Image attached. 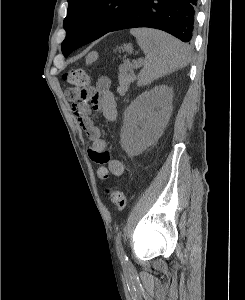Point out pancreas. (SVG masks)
<instances>
[{
  "label": "pancreas",
  "instance_id": "1",
  "mask_svg": "<svg viewBox=\"0 0 245 300\" xmlns=\"http://www.w3.org/2000/svg\"><path fill=\"white\" fill-rule=\"evenodd\" d=\"M128 67H123L120 69V73H119V88H118V92L123 95L130 83L134 80L133 77L130 76V74H128Z\"/></svg>",
  "mask_w": 245,
  "mask_h": 300
}]
</instances>
